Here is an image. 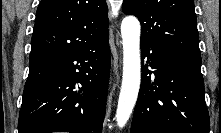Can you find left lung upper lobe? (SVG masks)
<instances>
[{
  "label": "left lung upper lobe",
  "mask_w": 221,
  "mask_h": 133,
  "mask_svg": "<svg viewBox=\"0 0 221 133\" xmlns=\"http://www.w3.org/2000/svg\"><path fill=\"white\" fill-rule=\"evenodd\" d=\"M122 10L141 22V40L200 54L193 0H124Z\"/></svg>",
  "instance_id": "obj_1"
}]
</instances>
